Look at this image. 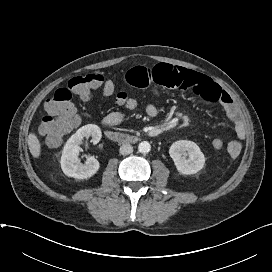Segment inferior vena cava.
<instances>
[{"label": "inferior vena cava", "instance_id": "1", "mask_svg": "<svg viewBox=\"0 0 272 272\" xmlns=\"http://www.w3.org/2000/svg\"><path fill=\"white\" fill-rule=\"evenodd\" d=\"M119 151L122 155H128L133 152V147L130 144H123Z\"/></svg>", "mask_w": 272, "mask_h": 272}]
</instances>
